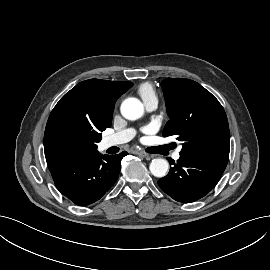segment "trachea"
I'll list each match as a JSON object with an SVG mask.
<instances>
[{
    "mask_svg": "<svg viewBox=\"0 0 270 270\" xmlns=\"http://www.w3.org/2000/svg\"><path fill=\"white\" fill-rule=\"evenodd\" d=\"M147 152H151L149 149L148 150H146Z\"/></svg>",
    "mask_w": 270,
    "mask_h": 270,
    "instance_id": "1",
    "label": "trachea"
}]
</instances>
